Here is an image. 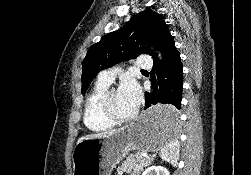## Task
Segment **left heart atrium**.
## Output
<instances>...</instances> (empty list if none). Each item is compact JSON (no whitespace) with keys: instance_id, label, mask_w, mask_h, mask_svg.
<instances>
[{"instance_id":"39dd6f15","label":"left heart atrium","mask_w":251,"mask_h":175,"mask_svg":"<svg viewBox=\"0 0 251 175\" xmlns=\"http://www.w3.org/2000/svg\"><path fill=\"white\" fill-rule=\"evenodd\" d=\"M118 94L121 102L130 110L137 111L142 100V93L138 83L132 78H126L120 84Z\"/></svg>"}]
</instances>
